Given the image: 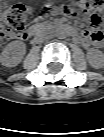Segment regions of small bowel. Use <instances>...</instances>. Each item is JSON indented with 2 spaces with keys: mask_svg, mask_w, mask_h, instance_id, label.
<instances>
[{
  "mask_svg": "<svg viewBox=\"0 0 104 137\" xmlns=\"http://www.w3.org/2000/svg\"><path fill=\"white\" fill-rule=\"evenodd\" d=\"M22 37L25 38V34ZM79 40L86 47H89V46H92V45H96V42L92 39V37L90 36V34L87 33V32H83L80 35Z\"/></svg>",
  "mask_w": 104,
  "mask_h": 137,
  "instance_id": "small-bowel-1",
  "label": "small bowel"
}]
</instances>
